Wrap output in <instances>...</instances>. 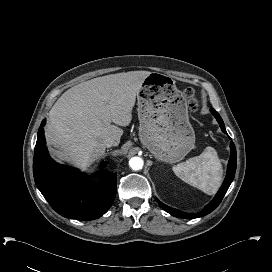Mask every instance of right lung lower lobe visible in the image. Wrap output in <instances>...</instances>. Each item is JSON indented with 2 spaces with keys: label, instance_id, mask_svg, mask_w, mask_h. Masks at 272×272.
I'll list each match as a JSON object with an SVG mask.
<instances>
[{
  "label": "right lung lower lobe",
  "instance_id": "right-lung-lower-lobe-1",
  "mask_svg": "<svg viewBox=\"0 0 272 272\" xmlns=\"http://www.w3.org/2000/svg\"><path fill=\"white\" fill-rule=\"evenodd\" d=\"M45 120L38 130L33 158V175L38 189L60 215L78 220L102 216L116 196V173L101 172L98 184L85 187L86 175L60 165L49 156L44 137Z\"/></svg>",
  "mask_w": 272,
  "mask_h": 272
}]
</instances>
